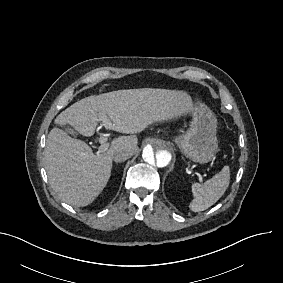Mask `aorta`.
I'll use <instances>...</instances> for the list:
<instances>
[{
	"instance_id": "obj_1",
	"label": "aorta",
	"mask_w": 283,
	"mask_h": 283,
	"mask_svg": "<svg viewBox=\"0 0 283 283\" xmlns=\"http://www.w3.org/2000/svg\"><path fill=\"white\" fill-rule=\"evenodd\" d=\"M142 158L149 170H166L173 161L172 146L163 139L150 138L145 143Z\"/></svg>"
}]
</instances>
